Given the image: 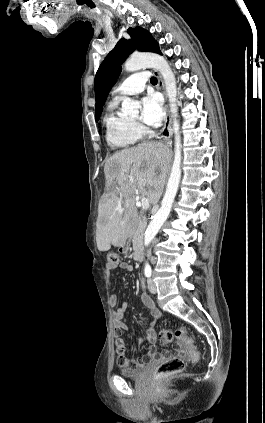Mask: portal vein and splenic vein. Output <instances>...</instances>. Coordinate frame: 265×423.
<instances>
[{
    "label": "portal vein and splenic vein",
    "mask_w": 265,
    "mask_h": 423,
    "mask_svg": "<svg viewBox=\"0 0 265 423\" xmlns=\"http://www.w3.org/2000/svg\"><path fill=\"white\" fill-rule=\"evenodd\" d=\"M149 200L147 199V198H145V197H142L141 198V207L143 208V209H148L149 208Z\"/></svg>",
    "instance_id": "obj_1"
}]
</instances>
